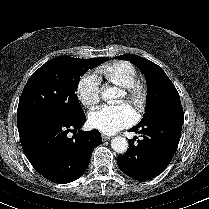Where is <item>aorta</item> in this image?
Returning <instances> with one entry per match:
<instances>
[{
    "label": "aorta",
    "mask_w": 209,
    "mask_h": 209,
    "mask_svg": "<svg viewBox=\"0 0 209 209\" xmlns=\"http://www.w3.org/2000/svg\"><path fill=\"white\" fill-rule=\"evenodd\" d=\"M102 99L105 101H112L121 96V90L117 87H106L103 89ZM128 141L126 138L118 136L111 140V147L117 153H125L128 149Z\"/></svg>",
    "instance_id": "obj_1"
}]
</instances>
